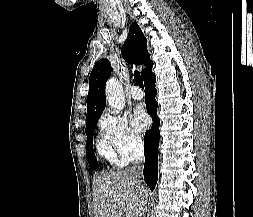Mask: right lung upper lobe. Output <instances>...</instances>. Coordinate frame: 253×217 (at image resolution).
<instances>
[{
	"label": "right lung upper lobe",
	"mask_w": 253,
	"mask_h": 217,
	"mask_svg": "<svg viewBox=\"0 0 253 217\" xmlns=\"http://www.w3.org/2000/svg\"><path fill=\"white\" fill-rule=\"evenodd\" d=\"M147 39L143 35L139 25L133 23L130 26L126 42L122 47L123 58L131 64H145L146 68L141 71L143 79L150 73L153 66L147 51ZM111 65L107 59H101L96 63L89 77V93L87 96L86 121L99 118L105 105V85L111 75Z\"/></svg>",
	"instance_id": "obj_1"
}]
</instances>
